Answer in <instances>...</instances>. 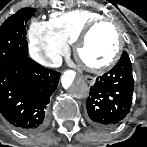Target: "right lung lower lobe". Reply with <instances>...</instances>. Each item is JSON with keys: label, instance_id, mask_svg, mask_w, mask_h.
I'll list each match as a JSON object with an SVG mask.
<instances>
[{"label": "right lung lower lobe", "instance_id": "98d812e1", "mask_svg": "<svg viewBox=\"0 0 147 147\" xmlns=\"http://www.w3.org/2000/svg\"><path fill=\"white\" fill-rule=\"evenodd\" d=\"M60 73L23 57L0 70V112L24 132L46 125V107L58 85Z\"/></svg>", "mask_w": 147, "mask_h": 147}]
</instances>
